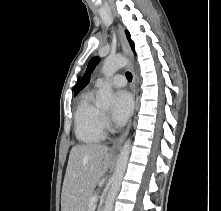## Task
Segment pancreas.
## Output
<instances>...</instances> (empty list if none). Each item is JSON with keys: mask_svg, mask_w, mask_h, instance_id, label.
<instances>
[{"mask_svg": "<svg viewBox=\"0 0 221 211\" xmlns=\"http://www.w3.org/2000/svg\"><path fill=\"white\" fill-rule=\"evenodd\" d=\"M94 196L93 192L89 194L84 202V211H90V200Z\"/></svg>", "mask_w": 221, "mask_h": 211, "instance_id": "1", "label": "pancreas"}]
</instances>
